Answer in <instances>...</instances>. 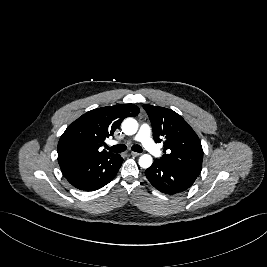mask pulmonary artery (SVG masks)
I'll use <instances>...</instances> for the list:
<instances>
[{"label":"pulmonary artery","instance_id":"pulmonary-artery-1","mask_svg":"<svg viewBox=\"0 0 267 267\" xmlns=\"http://www.w3.org/2000/svg\"><path fill=\"white\" fill-rule=\"evenodd\" d=\"M134 141H139L142 145L154 156H158L160 154L159 149L156 147L155 143L151 139V128L148 124L144 123L141 125L138 133L133 138ZM112 144H116V142H112Z\"/></svg>","mask_w":267,"mask_h":267}]
</instances>
